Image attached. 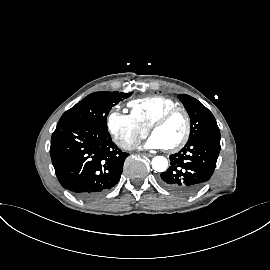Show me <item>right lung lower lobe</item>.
Segmentation results:
<instances>
[{"instance_id": "right-lung-lower-lobe-1", "label": "right lung lower lobe", "mask_w": 270, "mask_h": 270, "mask_svg": "<svg viewBox=\"0 0 270 270\" xmlns=\"http://www.w3.org/2000/svg\"><path fill=\"white\" fill-rule=\"evenodd\" d=\"M50 155L63 188L83 199L97 197L118 183L125 158L108 132L89 124L57 125Z\"/></svg>"}]
</instances>
